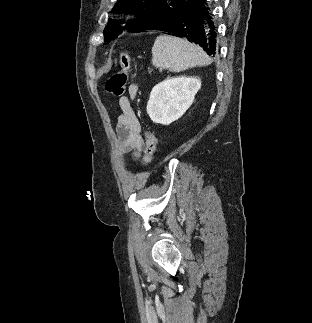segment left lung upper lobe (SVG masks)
<instances>
[{
	"instance_id": "left-lung-upper-lobe-1",
	"label": "left lung upper lobe",
	"mask_w": 312,
	"mask_h": 323,
	"mask_svg": "<svg viewBox=\"0 0 312 323\" xmlns=\"http://www.w3.org/2000/svg\"><path fill=\"white\" fill-rule=\"evenodd\" d=\"M174 0H118L114 7V13L134 11L138 18L128 22L126 27L114 24L120 23L110 19L104 29V39L109 41L117 37L123 29H136L135 32L153 30L165 16L171 11L170 5Z\"/></svg>"
}]
</instances>
